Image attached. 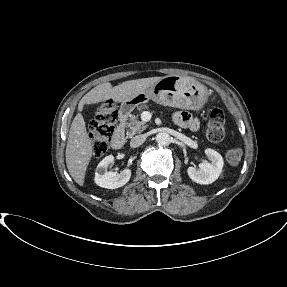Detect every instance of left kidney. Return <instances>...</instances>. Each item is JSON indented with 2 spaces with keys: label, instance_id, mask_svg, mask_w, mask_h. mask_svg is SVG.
Listing matches in <instances>:
<instances>
[{
  "label": "left kidney",
  "instance_id": "1",
  "mask_svg": "<svg viewBox=\"0 0 287 287\" xmlns=\"http://www.w3.org/2000/svg\"><path fill=\"white\" fill-rule=\"evenodd\" d=\"M205 154L210 159L209 162H203L199 165V169L188 167L187 173L192 181L198 184H211L220 176L223 169V158L215 150L207 148Z\"/></svg>",
  "mask_w": 287,
  "mask_h": 287
}]
</instances>
